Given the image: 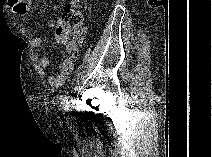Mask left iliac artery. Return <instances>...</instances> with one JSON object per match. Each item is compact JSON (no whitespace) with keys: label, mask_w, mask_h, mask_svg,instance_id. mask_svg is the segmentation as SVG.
<instances>
[{"label":"left iliac artery","mask_w":212,"mask_h":157,"mask_svg":"<svg viewBox=\"0 0 212 157\" xmlns=\"http://www.w3.org/2000/svg\"><path fill=\"white\" fill-rule=\"evenodd\" d=\"M68 94L65 93L63 96H62V101H61V104H62V107L64 109H66L68 107Z\"/></svg>","instance_id":"1"}]
</instances>
